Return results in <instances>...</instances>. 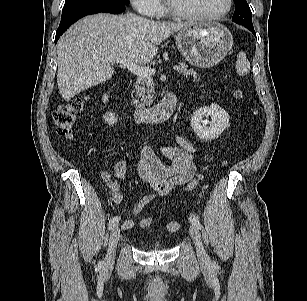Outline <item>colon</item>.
<instances>
[{
	"label": "colon",
	"mask_w": 307,
	"mask_h": 301,
	"mask_svg": "<svg viewBox=\"0 0 307 301\" xmlns=\"http://www.w3.org/2000/svg\"><path fill=\"white\" fill-rule=\"evenodd\" d=\"M235 97L240 98L241 92L236 90ZM88 97L86 95L75 97L68 102L60 103L56 106L52 114V120L59 132L65 138H70L73 132V126L78 115L83 111ZM152 217H143L140 222L142 228H148L152 225ZM167 230L176 232L179 230V224L176 221H170L167 224Z\"/></svg>",
	"instance_id": "colon-1"
}]
</instances>
